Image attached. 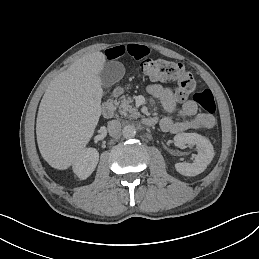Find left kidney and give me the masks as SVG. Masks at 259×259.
<instances>
[{
	"label": "left kidney",
	"mask_w": 259,
	"mask_h": 259,
	"mask_svg": "<svg viewBox=\"0 0 259 259\" xmlns=\"http://www.w3.org/2000/svg\"><path fill=\"white\" fill-rule=\"evenodd\" d=\"M175 144L181 146L183 144L194 145L198 149V155L195 157L194 163H176L175 169L183 176H197L202 173L211 163L214 156V148L210 141L205 137L196 133H184L175 136Z\"/></svg>",
	"instance_id": "obj_1"
}]
</instances>
